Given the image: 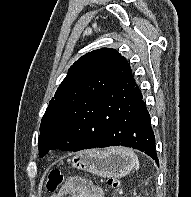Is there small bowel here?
<instances>
[{
  "instance_id": "c3829d8e",
  "label": "small bowel",
  "mask_w": 191,
  "mask_h": 197,
  "mask_svg": "<svg viewBox=\"0 0 191 197\" xmlns=\"http://www.w3.org/2000/svg\"><path fill=\"white\" fill-rule=\"evenodd\" d=\"M50 197H102V192L88 181L71 180Z\"/></svg>"
}]
</instances>
